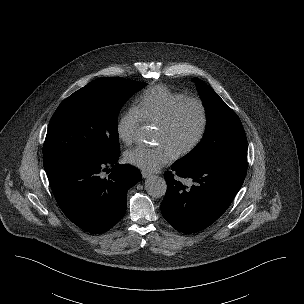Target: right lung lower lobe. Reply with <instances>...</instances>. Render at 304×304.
<instances>
[{"mask_svg": "<svg viewBox=\"0 0 304 304\" xmlns=\"http://www.w3.org/2000/svg\"><path fill=\"white\" fill-rule=\"evenodd\" d=\"M119 156L67 157L43 163L59 207L87 232L102 233L117 224L126 211L127 191L142 178L137 168L118 164ZM104 172L109 175L105 177Z\"/></svg>", "mask_w": 304, "mask_h": 304, "instance_id": "obj_1", "label": "right lung lower lobe"}]
</instances>
